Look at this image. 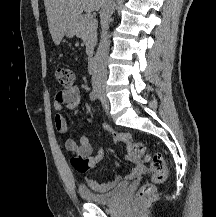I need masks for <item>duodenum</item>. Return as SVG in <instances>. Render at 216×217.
<instances>
[{
	"instance_id": "410a0bca",
	"label": "duodenum",
	"mask_w": 216,
	"mask_h": 217,
	"mask_svg": "<svg viewBox=\"0 0 216 217\" xmlns=\"http://www.w3.org/2000/svg\"><path fill=\"white\" fill-rule=\"evenodd\" d=\"M94 69H95V58L93 54H91L88 61V71L93 72Z\"/></svg>"
}]
</instances>
